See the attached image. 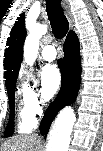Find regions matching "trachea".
<instances>
[{
  "mask_svg": "<svg viewBox=\"0 0 103 151\" xmlns=\"http://www.w3.org/2000/svg\"><path fill=\"white\" fill-rule=\"evenodd\" d=\"M46 11L51 22L52 33L57 40L62 41L69 30V23L60 0H46Z\"/></svg>",
  "mask_w": 103,
  "mask_h": 151,
  "instance_id": "3493384b",
  "label": "trachea"
}]
</instances>
